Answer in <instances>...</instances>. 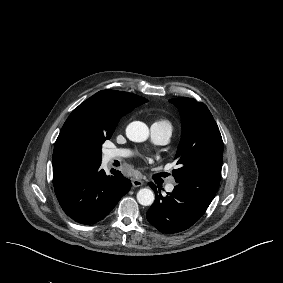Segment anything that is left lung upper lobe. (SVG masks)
<instances>
[{
  "mask_svg": "<svg viewBox=\"0 0 283 283\" xmlns=\"http://www.w3.org/2000/svg\"><path fill=\"white\" fill-rule=\"evenodd\" d=\"M179 110L181 141L173 170L177 187L210 204L221 178L223 142L218 126L203 103L192 98L169 100Z\"/></svg>",
  "mask_w": 283,
  "mask_h": 283,
  "instance_id": "1",
  "label": "left lung upper lobe"
}]
</instances>
